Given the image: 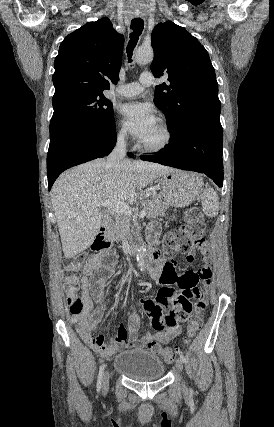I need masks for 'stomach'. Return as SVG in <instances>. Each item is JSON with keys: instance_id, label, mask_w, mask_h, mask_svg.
<instances>
[{"instance_id": "stomach-1", "label": "stomach", "mask_w": 274, "mask_h": 427, "mask_svg": "<svg viewBox=\"0 0 274 427\" xmlns=\"http://www.w3.org/2000/svg\"><path fill=\"white\" fill-rule=\"evenodd\" d=\"M197 174H185L180 170H173L169 174L160 176L161 196L173 208H185L193 202L197 190Z\"/></svg>"}]
</instances>
